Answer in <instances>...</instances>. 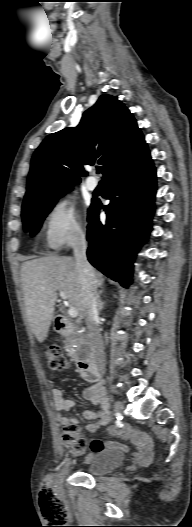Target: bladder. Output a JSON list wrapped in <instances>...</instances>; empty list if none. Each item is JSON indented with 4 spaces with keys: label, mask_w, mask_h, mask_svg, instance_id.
Instances as JSON below:
<instances>
[{
    "label": "bladder",
    "mask_w": 192,
    "mask_h": 527,
    "mask_svg": "<svg viewBox=\"0 0 192 527\" xmlns=\"http://www.w3.org/2000/svg\"><path fill=\"white\" fill-rule=\"evenodd\" d=\"M124 462V454L115 449L92 452L84 460L85 472L92 476H102L118 469Z\"/></svg>",
    "instance_id": "bladder-1"
}]
</instances>
